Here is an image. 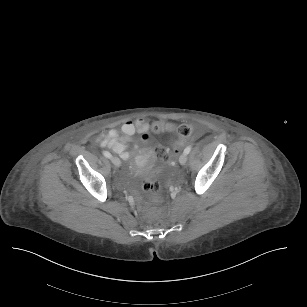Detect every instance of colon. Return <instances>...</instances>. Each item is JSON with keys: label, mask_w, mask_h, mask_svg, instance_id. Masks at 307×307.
<instances>
[{"label": "colon", "mask_w": 307, "mask_h": 307, "mask_svg": "<svg viewBox=\"0 0 307 307\" xmlns=\"http://www.w3.org/2000/svg\"><path fill=\"white\" fill-rule=\"evenodd\" d=\"M152 132H160L161 131V127L159 125H154L152 127ZM193 129L191 127V125L189 124H182L179 128H178V141L180 143H183L185 141L186 138H188L191 133H192ZM150 134L145 132L141 135V140L142 141H147L150 139ZM180 152V149L174 150V153H178ZM155 155L157 157L158 160L162 161V162H167L170 158V152L168 149H166L163 146H158L156 147L155 150ZM148 179H144L143 180V189L146 192H150V193H157L160 189V184L159 182L156 180L158 177L157 172L155 171H151L148 174Z\"/></svg>", "instance_id": "colon-1"}]
</instances>
